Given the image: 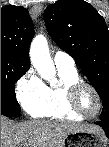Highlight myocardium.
Wrapping results in <instances>:
<instances>
[{
	"mask_svg": "<svg viewBox=\"0 0 109 147\" xmlns=\"http://www.w3.org/2000/svg\"><path fill=\"white\" fill-rule=\"evenodd\" d=\"M87 88L95 95L97 99V109L94 114L87 115L85 114L78 105V97L82 89ZM67 102L70 107V109L78 116L85 118V119H91L99 114L101 107H102V100L100 97L99 92L96 90L94 86L91 84L83 81V80H77L70 84L67 88Z\"/></svg>",
	"mask_w": 109,
	"mask_h": 147,
	"instance_id": "obj_1",
	"label": "myocardium"
}]
</instances>
